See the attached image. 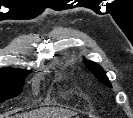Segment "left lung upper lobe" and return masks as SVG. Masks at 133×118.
Returning a JSON list of instances; mask_svg holds the SVG:
<instances>
[{
    "instance_id": "obj_1",
    "label": "left lung upper lobe",
    "mask_w": 133,
    "mask_h": 118,
    "mask_svg": "<svg viewBox=\"0 0 133 118\" xmlns=\"http://www.w3.org/2000/svg\"><path fill=\"white\" fill-rule=\"evenodd\" d=\"M85 66L95 75V77L104 85L111 87V84L103 71V68L93 61L84 59Z\"/></svg>"
}]
</instances>
